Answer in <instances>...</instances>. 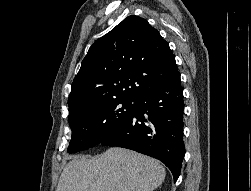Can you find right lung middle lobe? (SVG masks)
Here are the masks:
<instances>
[{"mask_svg":"<svg viewBox=\"0 0 251 191\" xmlns=\"http://www.w3.org/2000/svg\"><path fill=\"white\" fill-rule=\"evenodd\" d=\"M135 109L134 99H116L69 109L68 122L72 138L67 152L74 153L100 144L121 126Z\"/></svg>","mask_w":251,"mask_h":191,"instance_id":"1","label":"right lung middle lobe"}]
</instances>
